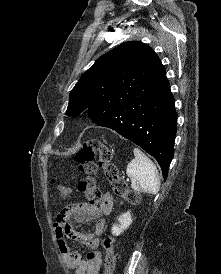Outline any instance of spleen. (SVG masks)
Here are the masks:
<instances>
[{"instance_id": "3e777b00", "label": "spleen", "mask_w": 221, "mask_h": 274, "mask_svg": "<svg viewBox=\"0 0 221 274\" xmlns=\"http://www.w3.org/2000/svg\"><path fill=\"white\" fill-rule=\"evenodd\" d=\"M135 158L127 165L126 173L131 178L135 191L157 194L160 179L155 164L138 148L133 150Z\"/></svg>"}]
</instances>
